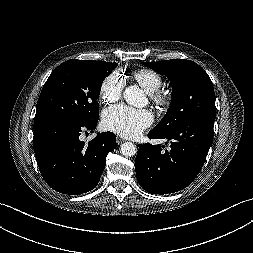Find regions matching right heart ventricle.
I'll return each instance as SVG.
<instances>
[{
  "label": "right heart ventricle",
  "instance_id": "obj_1",
  "mask_svg": "<svg viewBox=\"0 0 253 253\" xmlns=\"http://www.w3.org/2000/svg\"><path fill=\"white\" fill-rule=\"evenodd\" d=\"M132 76L148 93L158 90L162 85L160 74L152 69H139Z\"/></svg>",
  "mask_w": 253,
  "mask_h": 253
}]
</instances>
